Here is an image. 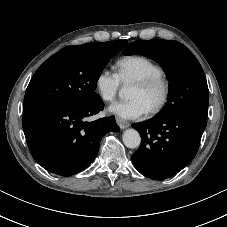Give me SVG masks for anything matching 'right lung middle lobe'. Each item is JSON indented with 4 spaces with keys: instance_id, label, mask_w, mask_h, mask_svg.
Segmentation results:
<instances>
[{
    "instance_id": "right-lung-middle-lobe-1",
    "label": "right lung middle lobe",
    "mask_w": 227,
    "mask_h": 227,
    "mask_svg": "<svg viewBox=\"0 0 227 227\" xmlns=\"http://www.w3.org/2000/svg\"><path fill=\"white\" fill-rule=\"evenodd\" d=\"M124 41L68 46L48 58L32 77L23 111L50 104H87L99 99L94 92L110 58Z\"/></svg>"
}]
</instances>
